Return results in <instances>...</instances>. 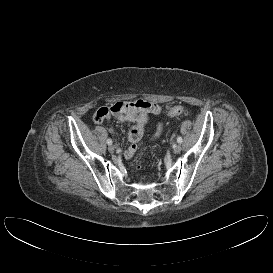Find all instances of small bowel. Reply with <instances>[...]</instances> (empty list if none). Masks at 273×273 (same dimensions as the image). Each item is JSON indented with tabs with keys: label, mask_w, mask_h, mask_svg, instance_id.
Returning <instances> with one entry per match:
<instances>
[{
	"label": "small bowel",
	"mask_w": 273,
	"mask_h": 273,
	"mask_svg": "<svg viewBox=\"0 0 273 273\" xmlns=\"http://www.w3.org/2000/svg\"><path fill=\"white\" fill-rule=\"evenodd\" d=\"M161 108L159 105L146 100L136 101H120L108 107L99 108L94 114L93 120L95 123H101L106 119L114 118L123 122H130L132 126L128 132L129 147L126 149L124 155L130 159L136 149L137 142L142 138L151 115L159 114ZM163 125L160 123L157 126L154 137L161 134Z\"/></svg>",
	"instance_id": "obj_1"
}]
</instances>
